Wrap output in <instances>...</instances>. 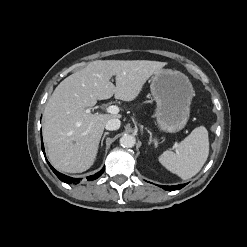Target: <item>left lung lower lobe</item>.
Returning <instances> with one entry per match:
<instances>
[{
    "label": "left lung lower lobe",
    "instance_id": "obj_1",
    "mask_svg": "<svg viewBox=\"0 0 247 247\" xmlns=\"http://www.w3.org/2000/svg\"><path fill=\"white\" fill-rule=\"evenodd\" d=\"M184 186L185 184H181V185H176V186H163L162 188L168 191H174V190H179L183 188Z\"/></svg>",
    "mask_w": 247,
    "mask_h": 247
}]
</instances>
